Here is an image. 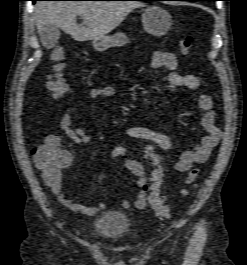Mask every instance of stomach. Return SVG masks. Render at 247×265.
<instances>
[{
    "instance_id": "obj_1",
    "label": "stomach",
    "mask_w": 247,
    "mask_h": 265,
    "mask_svg": "<svg viewBox=\"0 0 247 265\" xmlns=\"http://www.w3.org/2000/svg\"><path fill=\"white\" fill-rule=\"evenodd\" d=\"M142 25L144 30L153 36H163L172 25V17L168 11L160 6H148L142 14ZM129 43V38L123 32L112 36H105L93 40V48L98 52H104L112 47H121Z\"/></svg>"
}]
</instances>
